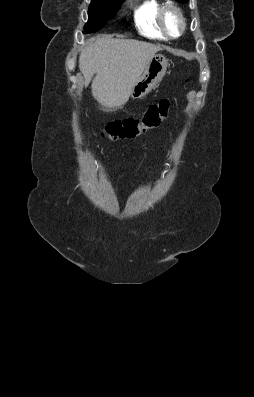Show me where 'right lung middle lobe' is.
I'll list each match as a JSON object with an SVG mask.
<instances>
[{"mask_svg": "<svg viewBox=\"0 0 254 397\" xmlns=\"http://www.w3.org/2000/svg\"><path fill=\"white\" fill-rule=\"evenodd\" d=\"M125 0H91L88 10V22L84 26V34L100 30L109 20L115 17Z\"/></svg>", "mask_w": 254, "mask_h": 397, "instance_id": "right-lung-middle-lobe-1", "label": "right lung middle lobe"}]
</instances>
